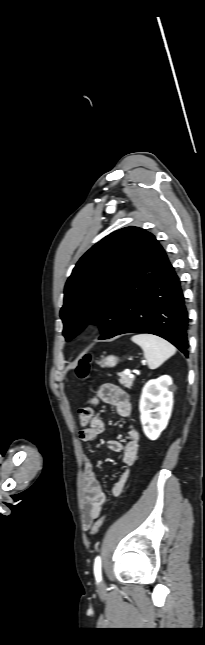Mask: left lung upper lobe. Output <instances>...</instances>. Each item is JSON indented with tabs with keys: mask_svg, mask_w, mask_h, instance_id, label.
Returning a JSON list of instances; mask_svg holds the SVG:
<instances>
[{
	"mask_svg": "<svg viewBox=\"0 0 205 645\" xmlns=\"http://www.w3.org/2000/svg\"><path fill=\"white\" fill-rule=\"evenodd\" d=\"M147 231L126 227L89 249L68 278L60 317L69 341L87 324L100 326V340L118 327L124 287Z\"/></svg>",
	"mask_w": 205,
	"mask_h": 645,
	"instance_id": "obj_1",
	"label": "left lung upper lobe"
}]
</instances>
